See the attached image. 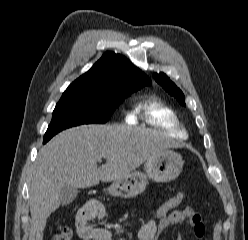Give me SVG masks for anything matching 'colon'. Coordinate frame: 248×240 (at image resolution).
Here are the masks:
<instances>
[{
    "instance_id": "obj_1",
    "label": "colon",
    "mask_w": 248,
    "mask_h": 240,
    "mask_svg": "<svg viewBox=\"0 0 248 240\" xmlns=\"http://www.w3.org/2000/svg\"><path fill=\"white\" fill-rule=\"evenodd\" d=\"M183 199V193L173 195L160 203L149 215L156 218L164 217L171 211L177 209L181 205ZM72 235L73 231L69 226H59L53 240H71Z\"/></svg>"
}]
</instances>
